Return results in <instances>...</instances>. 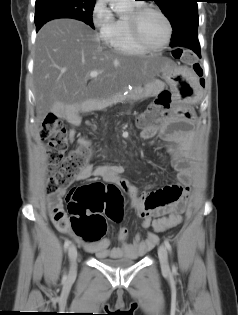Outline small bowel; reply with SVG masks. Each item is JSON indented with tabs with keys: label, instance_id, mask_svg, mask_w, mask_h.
Segmentation results:
<instances>
[{
	"label": "small bowel",
	"instance_id": "1",
	"mask_svg": "<svg viewBox=\"0 0 238 315\" xmlns=\"http://www.w3.org/2000/svg\"><path fill=\"white\" fill-rule=\"evenodd\" d=\"M157 132L162 139L172 142L170 154L172 156V167L177 172V184H170L149 194L141 192L138 188L130 185L123 177L124 168L115 163L93 166L87 164L76 176L79 182L87 181L93 177H99L106 182L116 183L125 192L130 200L131 207L141 219V226L149 228L153 218L157 216H173V223H169L167 229L177 226L181 222V213L184 210L189 196L192 180L191 169V136L189 134L178 135L165 127L160 129H144L141 132L143 139H151ZM84 140L78 139L77 144ZM64 191H58L48 196V208L51 220L55 227L62 233L73 236L89 252H93L99 258H138L143 256L158 242L155 232L148 231L145 236L137 234L132 241H129V231L122 227L118 231L120 244L117 247H110V241L102 238L96 242H85L76 233L72 232L68 223V216L62 209V198Z\"/></svg>",
	"mask_w": 238,
	"mask_h": 315
}]
</instances>
